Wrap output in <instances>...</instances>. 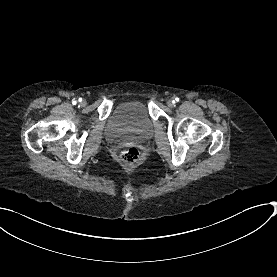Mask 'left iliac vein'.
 I'll list each match as a JSON object with an SVG mask.
<instances>
[{
  "instance_id": "1",
  "label": "left iliac vein",
  "mask_w": 277,
  "mask_h": 277,
  "mask_svg": "<svg viewBox=\"0 0 277 277\" xmlns=\"http://www.w3.org/2000/svg\"><path fill=\"white\" fill-rule=\"evenodd\" d=\"M167 105H168V107L172 108V107L174 106V101L171 100V99H169V100L167 101Z\"/></svg>"
}]
</instances>
